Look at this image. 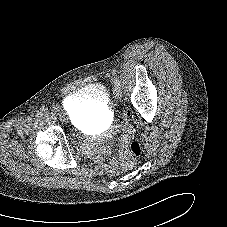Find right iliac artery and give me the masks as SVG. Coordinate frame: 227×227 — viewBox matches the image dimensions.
<instances>
[{
  "instance_id": "1",
  "label": "right iliac artery",
  "mask_w": 227,
  "mask_h": 227,
  "mask_svg": "<svg viewBox=\"0 0 227 227\" xmlns=\"http://www.w3.org/2000/svg\"><path fill=\"white\" fill-rule=\"evenodd\" d=\"M42 116H43V113L42 112H40V113L37 114V117H42Z\"/></svg>"
}]
</instances>
